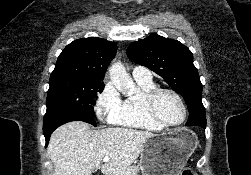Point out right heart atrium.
Masks as SVG:
<instances>
[{"label":"right heart atrium","instance_id":"1","mask_svg":"<svg viewBox=\"0 0 251 175\" xmlns=\"http://www.w3.org/2000/svg\"><path fill=\"white\" fill-rule=\"evenodd\" d=\"M123 108L121 95L112 81H104L94 102L96 117L105 123L117 122Z\"/></svg>","mask_w":251,"mask_h":175}]
</instances>
